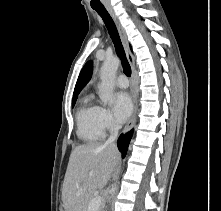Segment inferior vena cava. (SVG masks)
Returning <instances> with one entry per match:
<instances>
[{"mask_svg": "<svg viewBox=\"0 0 221 211\" xmlns=\"http://www.w3.org/2000/svg\"><path fill=\"white\" fill-rule=\"evenodd\" d=\"M119 128H120V126L116 122L112 123L111 130H110V136H109L108 140L105 142L106 146L116 148V140L118 138Z\"/></svg>", "mask_w": 221, "mask_h": 211, "instance_id": "inferior-vena-cava-1", "label": "inferior vena cava"}]
</instances>
